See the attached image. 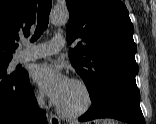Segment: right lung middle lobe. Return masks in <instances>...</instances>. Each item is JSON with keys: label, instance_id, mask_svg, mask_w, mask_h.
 <instances>
[{"label": "right lung middle lobe", "instance_id": "dd1d6c3e", "mask_svg": "<svg viewBox=\"0 0 156 124\" xmlns=\"http://www.w3.org/2000/svg\"><path fill=\"white\" fill-rule=\"evenodd\" d=\"M11 61V59H1L0 60V66L4 67L5 69H7V66L9 64V62ZM26 73L25 70H21V71H16V72H13L12 76H21V75H24Z\"/></svg>", "mask_w": 156, "mask_h": 124}]
</instances>
